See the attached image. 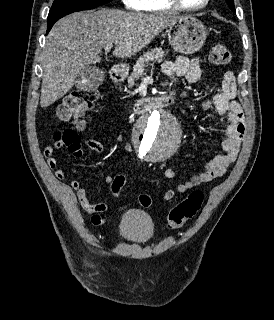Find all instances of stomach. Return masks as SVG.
I'll return each instance as SVG.
<instances>
[{
    "label": "stomach",
    "instance_id": "stomach-1",
    "mask_svg": "<svg viewBox=\"0 0 274 320\" xmlns=\"http://www.w3.org/2000/svg\"><path fill=\"white\" fill-rule=\"evenodd\" d=\"M169 44L179 54H195L201 50L207 38V30L197 18L183 16L168 28ZM118 74H123L118 68Z\"/></svg>",
    "mask_w": 274,
    "mask_h": 320
}]
</instances>
